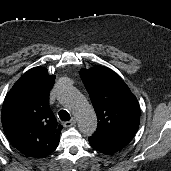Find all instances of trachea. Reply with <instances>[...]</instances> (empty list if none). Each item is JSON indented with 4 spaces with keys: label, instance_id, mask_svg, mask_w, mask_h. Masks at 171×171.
Masks as SVG:
<instances>
[{
    "label": "trachea",
    "instance_id": "1",
    "mask_svg": "<svg viewBox=\"0 0 171 171\" xmlns=\"http://www.w3.org/2000/svg\"><path fill=\"white\" fill-rule=\"evenodd\" d=\"M58 115L62 121H69L70 120V115L65 110H60Z\"/></svg>",
    "mask_w": 171,
    "mask_h": 171
}]
</instances>
